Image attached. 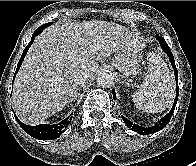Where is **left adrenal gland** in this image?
Listing matches in <instances>:
<instances>
[{
    "label": "left adrenal gland",
    "instance_id": "left-adrenal-gland-1",
    "mask_svg": "<svg viewBox=\"0 0 196 166\" xmlns=\"http://www.w3.org/2000/svg\"><path fill=\"white\" fill-rule=\"evenodd\" d=\"M126 85L130 86V84L128 82H126Z\"/></svg>",
    "mask_w": 196,
    "mask_h": 166
}]
</instances>
